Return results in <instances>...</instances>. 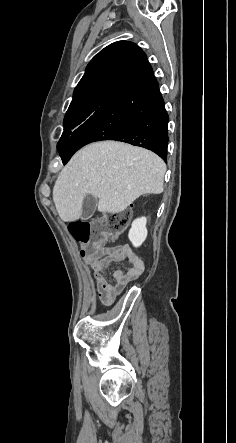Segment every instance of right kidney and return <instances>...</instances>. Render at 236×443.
Listing matches in <instances>:
<instances>
[{"label": "right kidney", "instance_id": "1", "mask_svg": "<svg viewBox=\"0 0 236 443\" xmlns=\"http://www.w3.org/2000/svg\"><path fill=\"white\" fill-rule=\"evenodd\" d=\"M147 219L145 217L137 218L133 221L128 237L133 246L139 247L147 237L146 228Z\"/></svg>", "mask_w": 236, "mask_h": 443}]
</instances>
